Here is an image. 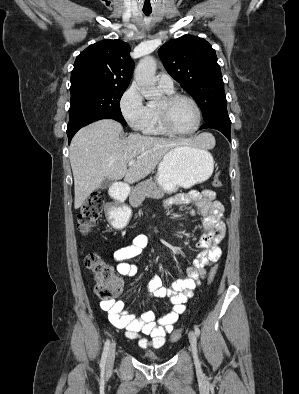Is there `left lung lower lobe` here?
<instances>
[{
	"label": "left lung lower lobe",
	"mask_w": 299,
	"mask_h": 394,
	"mask_svg": "<svg viewBox=\"0 0 299 394\" xmlns=\"http://www.w3.org/2000/svg\"><path fill=\"white\" fill-rule=\"evenodd\" d=\"M212 128L222 132L230 141L231 121L229 116H219L205 122L200 129Z\"/></svg>",
	"instance_id": "1"
}]
</instances>
